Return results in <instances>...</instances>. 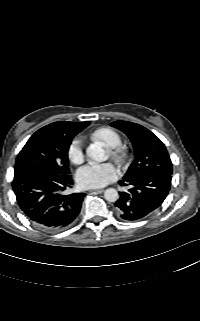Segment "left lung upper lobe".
Masks as SVG:
<instances>
[{
    "mask_svg": "<svg viewBox=\"0 0 200 321\" xmlns=\"http://www.w3.org/2000/svg\"><path fill=\"white\" fill-rule=\"evenodd\" d=\"M111 126L123 131L130 138L134 147L135 160L124 177L150 172L172 174L169 154L164 144L151 131L128 121H115L111 123Z\"/></svg>",
    "mask_w": 200,
    "mask_h": 321,
    "instance_id": "obj_1",
    "label": "left lung upper lobe"
}]
</instances>
